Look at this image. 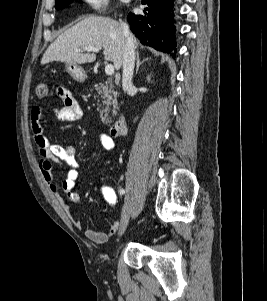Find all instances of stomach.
Wrapping results in <instances>:
<instances>
[{
    "instance_id": "obj_1",
    "label": "stomach",
    "mask_w": 267,
    "mask_h": 301,
    "mask_svg": "<svg viewBox=\"0 0 267 301\" xmlns=\"http://www.w3.org/2000/svg\"><path fill=\"white\" fill-rule=\"evenodd\" d=\"M66 69L70 76L77 82H84L87 74L82 67L76 64H66Z\"/></svg>"
}]
</instances>
